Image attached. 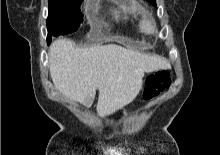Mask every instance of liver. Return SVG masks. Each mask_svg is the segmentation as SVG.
Masks as SVG:
<instances>
[{"label": "liver", "instance_id": "obj_1", "mask_svg": "<svg viewBox=\"0 0 220 155\" xmlns=\"http://www.w3.org/2000/svg\"><path fill=\"white\" fill-rule=\"evenodd\" d=\"M49 69L55 88L90 107L99 90L97 114L111 115L132 102L142 89L144 73L170 68L164 58L116 44L78 48L66 38L52 42Z\"/></svg>", "mask_w": 220, "mask_h": 155}]
</instances>
